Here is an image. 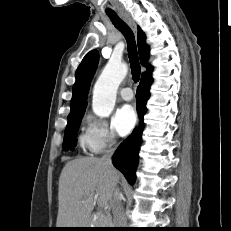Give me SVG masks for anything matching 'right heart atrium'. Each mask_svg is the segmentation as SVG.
Masks as SVG:
<instances>
[{
    "mask_svg": "<svg viewBox=\"0 0 231 231\" xmlns=\"http://www.w3.org/2000/svg\"><path fill=\"white\" fill-rule=\"evenodd\" d=\"M86 122L87 131L92 136L98 152L105 151L117 144V135L112 125L106 120L88 115Z\"/></svg>",
    "mask_w": 231,
    "mask_h": 231,
    "instance_id": "right-heart-atrium-1",
    "label": "right heart atrium"
}]
</instances>
